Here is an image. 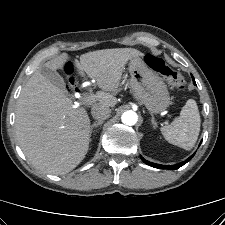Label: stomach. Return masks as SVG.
Listing matches in <instances>:
<instances>
[{
    "label": "stomach",
    "instance_id": "obj_1",
    "mask_svg": "<svg viewBox=\"0 0 225 225\" xmlns=\"http://www.w3.org/2000/svg\"><path fill=\"white\" fill-rule=\"evenodd\" d=\"M130 86L134 97L151 112L160 113L170 104V95L162 78L140 56L130 59Z\"/></svg>",
    "mask_w": 225,
    "mask_h": 225
}]
</instances>
